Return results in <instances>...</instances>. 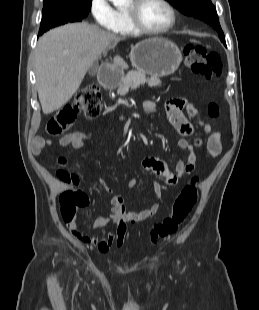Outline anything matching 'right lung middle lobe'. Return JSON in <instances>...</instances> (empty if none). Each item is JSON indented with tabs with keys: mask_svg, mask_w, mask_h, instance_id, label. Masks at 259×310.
I'll return each mask as SVG.
<instances>
[{
	"mask_svg": "<svg viewBox=\"0 0 259 310\" xmlns=\"http://www.w3.org/2000/svg\"><path fill=\"white\" fill-rule=\"evenodd\" d=\"M92 0H58L44 2L39 35L51 28L69 23L79 22L91 10Z\"/></svg>",
	"mask_w": 259,
	"mask_h": 310,
	"instance_id": "right-lung-middle-lobe-1",
	"label": "right lung middle lobe"
}]
</instances>
